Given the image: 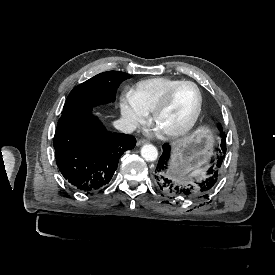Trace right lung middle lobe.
Here are the masks:
<instances>
[{"instance_id":"obj_1","label":"right lung middle lobe","mask_w":275,"mask_h":275,"mask_svg":"<svg viewBox=\"0 0 275 275\" xmlns=\"http://www.w3.org/2000/svg\"><path fill=\"white\" fill-rule=\"evenodd\" d=\"M131 76L124 72L100 73L76 86L68 95L63 110L72 108L92 109L115 100L116 88Z\"/></svg>"}]
</instances>
